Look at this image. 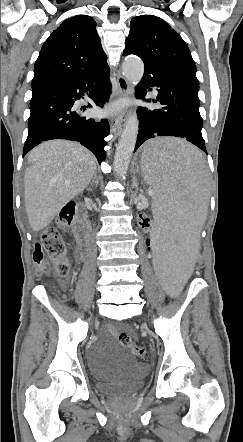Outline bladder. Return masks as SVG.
Returning a JSON list of instances; mask_svg holds the SVG:
<instances>
[{"label": "bladder", "mask_w": 243, "mask_h": 442, "mask_svg": "<svg viewBox=\"0 0 243 442\" xmlns=\"http://www.w3.org/2000/svg\"><path fill=\"white\" fill-rule=\"evenodd\" d=\"M90 372L96 379L99 393L109 396H128L139 391L144 383L146 369L133 357L125 354L115 360L105 357L90 364Z\"/></svg>", "instance_id": "31cf9c89"}]
</instances>
